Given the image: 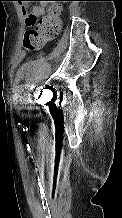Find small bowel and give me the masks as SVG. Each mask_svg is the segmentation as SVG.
<instances>
[{
    "label": "small bowel",
    "mask_w": 122,
    "mask_h": 218,
    "mask_svg": "<svg viewBox=\"0 0 122 218\" xmlns=\"http://www.w3.org/2000/svg\"><path fill=\"white\" fill-rule=\"evenodd\" d=\"M45 6H46L45 4L36 5L32 9V14H34L36 16H41V15L45 14Z\"/></svg>",
    "instance_id": "c3829d8e"
}]
</instances>
